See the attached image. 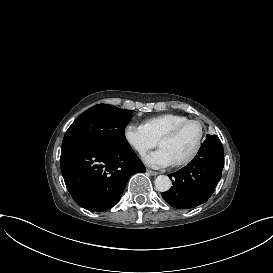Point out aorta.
<instances>
[{
  "mask_svg": "<svg viewBox=\"0 0 273 273\" xmlns=\"http://www.w3.org/2000/svg\"><path fill=\"white\" fill-rule=\"evenodd\" d=\"M171 180L166 175H159L155 179V189L159 192H166L171 188Z\"/></svg>",
  "mask_w": 273,
  "mask_h": 273,
  "instance_id": "1",
  "label": "aorta"
}]
</instances>
